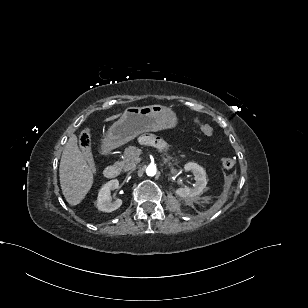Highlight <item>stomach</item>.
<instances>
[{"mask_svg":"<svg viewBox=\"0 0 308 308\" xmlns=\"http://www.w3.org/2000/svg\"><path fill=\"white\" fill-rule=\"evenodd\" d=\"M177 124L176 113L169 107L159 104L129 107L119 120L111 125L103 145L105 148L114 149L144 132L175 128Z\"/></svg>","mask_w":308,"mask_h":308,"instance_id":"stomach-1","label":"stomach"}]
</instances>
